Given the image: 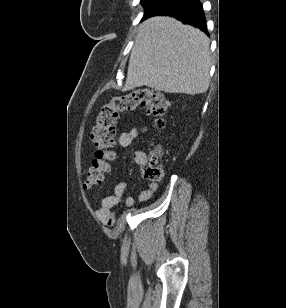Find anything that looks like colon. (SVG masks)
I'll use <instances>...</instances> for the list:
<instances>
[{"label":"colon","instance_id":"colon-1","mask_svg":"<svg viewBox=\"0 0 286 308\" xmlns=\"http://www.w3.org/2000/svg\"><path fill=\"white\" fill-rule=\"evenodd\" d=\"M170 106L164 96L150 88H137L128 93L114 96L104 104L97 116L92 131V141L96 146L95 159L88 168L84 180L87 189L100 185L109 170V161L113 158L112 148L115 143L116 124L122 112H132L139 108L146 109L156 117V125L164 127V116ZM143 174L152 181H159L163 176L160 164V151L155 149L143 162Z\"/></svg>","mask_w":286,"mask_h":308}]
</instances>
